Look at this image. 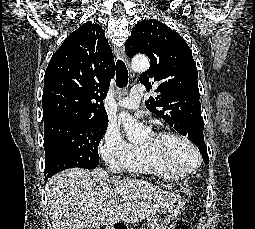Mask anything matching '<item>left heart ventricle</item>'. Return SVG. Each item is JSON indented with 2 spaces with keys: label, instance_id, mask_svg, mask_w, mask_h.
I'll list each match as a JSON object with an SVG mask.
<instances>
[{
  "label": "left heart ventricle",
  "instance_id": "b2bd125f",
  "mask_svg": "<svg viewBox=\"0 0 255 229\" xmlns=\"http://www.w3.org/2000/svg\"><path fill=\"white\" fill-rule=\"evenodd\" d=\"M153 143V135H150L144 145ZM159 150L163 157L175 167L192 166L197 157L193 150L184 142L169 138L159 144Z\"/></svg>",
  "mask_w": 255,
  "mask_h": 229
}]
</instances>
